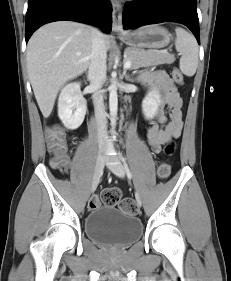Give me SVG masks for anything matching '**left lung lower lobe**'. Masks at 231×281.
Listing matches in <instances>:
<instances>
[{
  "instance_id": "obj_1",
  "label": "left lung lower lobe",
  "mask_w": 231,
  "mask_h": 281,
  "mask_svg": "<svg viewBox=\"0 0 231 281\" xmlns=\"http://www.w3.org/2000/svg\"><path fill=\"white\" fill-rule=\"evenodd\" d=\"M165 21L187 26L200 44L196 0H139L135 5H126L122 14L124 29Z\"/></svg>"
}]
</instances>
